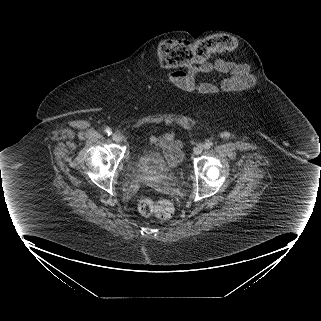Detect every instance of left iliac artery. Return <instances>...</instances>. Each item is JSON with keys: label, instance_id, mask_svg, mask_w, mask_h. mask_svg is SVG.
Instances as JSON below:
<instances>
[{"label": "left iliac artery", "instance_id": "44dca946", "mask_svg": "<svg viewBox=\"0 0 321 321\" xmlns=\"http://www.w3.org/2000/svg\"><path fill=\"white\" fill-rule=\"evenodd\" d=\"M211 146H212V143L210 141L205 142L203 145L204 149H210Z\"/></svg>", "mask_w": 321, "mask_h": 321}]
</instances>
